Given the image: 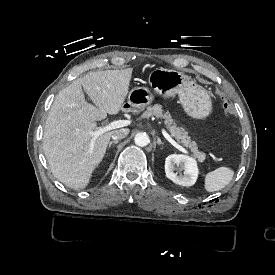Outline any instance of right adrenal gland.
Instances as JSON below:
<instances>
[{
  "label": "right adrenal gland",
  "instance_id": "2a0ac1e0",
  "mask_svg": "<svg viewBox=\"0 0 275 275\" xmlns=\"http://www.w3.org/2000/svg\"><path fill=\"white\" fill-rule=\"evenodd\" d=\"M118 143H119V140L111 141V142L109 143L108 150L110 149V147H111L112 145H116V144H118Z\"/></svg>",
  "mask_w": 275,
  "mask_h": 275
}]
</instances>
